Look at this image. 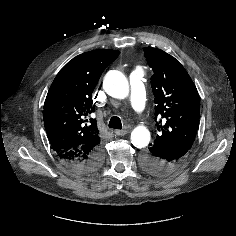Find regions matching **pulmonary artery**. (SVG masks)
Returning <instances> with one entry per match:
<instances>
[{"mask_svg":"<svg viewBox=\"0 0 236 236\" xmlns=\"http://www.w3.org/2000/svg\"><path fill=\"white\" fill-rule=\"evenodd\" d=\"M144 77L145 72L141 67L135 68L130 74V103L138 115L144 112L146 105Z\"/></svg>","mask_w":236,"mask_h":236,"instance_id":"e3ab8cb5","label":"pulmonary artery"}]
</instances>
